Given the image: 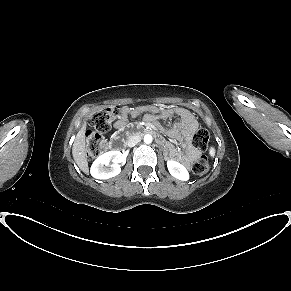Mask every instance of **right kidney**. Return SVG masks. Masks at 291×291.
<instances>
[{
	"label": "right kidney",
	"mask_w": 291,
	"mask_h": 291,
	"mask_svg": "<svg viewBox=\"0 0 291 291\" xmlns=\"http://www.w3.org/2000/svg\"><path fill=\"white\" fill-rule=\"evenodd\" d=\"M121 152L118 150L108 151L99 156L92 164L90 173L92 177L96 179H109L118 175L121 172V168L118 163L121 161ZM113 162L109 168L105 166Z\"/></svg>",
	"instance_id": "obj_1"
}]
</instances>
